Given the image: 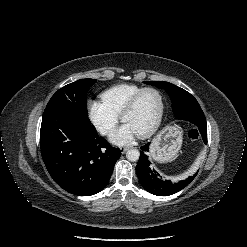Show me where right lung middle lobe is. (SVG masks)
I'll list each match as a JSON object with an SVG mask.
<instances>
[{
    "instance_id": "obj_1",
    "label": "right lung middle lobe",
    "mask_w": 247,
    "mask_h": 247,
    "mask_svg": "<svg viewBox=\"0 0 247 247\" xmlns=\"http://www.w3.org/2000/svg\"><path fill=\"white\" fill-rule=\"evenodd\" d=\"M95 79H80L59 89L48 102L47 108L64 107L77 113L87 114L86 93Z\"/></svg>"
}]
</instances>
